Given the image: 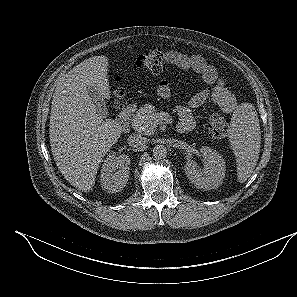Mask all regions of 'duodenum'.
I'll use <instances>...</instances> for the list:
<instances>
[{"label": "duodenum", "instance_id": "1", "mask_svg": "<svg viewBox=\"0 0 297 297\" xmlns=\"http://www.w3.org/2000/svg\"><path fill=\"white\" fill-rule=\"evenodd\" d=\"M134 112V107L132 105L125 106L121 109L116 121L118 128L127 133L130 127V118ZM188 128H184V131H188Z\"/></svg>", "mask_w": 297, "mask_h": 297}]
</instances>
